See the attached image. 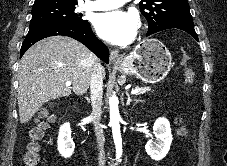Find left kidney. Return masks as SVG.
Here are the masks:
<instances>
[{
  "label": "left kidney",
  "instance_id": "obj_1",
  "mask_svg": "<svg viewBox=\"0 0 227 166\" xmlns=\"http://www.w3.org/2000/svg\"><path fill=\"white\" fill-rule=\"evenodd\" d=\"M154 139L145 145L146 153L155 161L162 160L170 150L173 140L170 123L166 118H158L153 126Z\"/></svg>",
  "mask_w": 227,
  "mask_h": 166
}]
</instances>
